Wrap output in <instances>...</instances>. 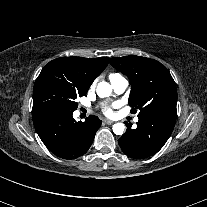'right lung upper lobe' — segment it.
<instances>
[{"label":"right lung upper lobe","instance_id":"cb5924a9","mask_svg":"<svg viewBox=\"0 0 207 207\" xmlns=\"http://www.w3.org/2000/svg\"><path fill=\"white\" fill-rule=\"evenodd\" d=\"M108 59V57L93 59L60 57L49 62L43 69L58 71L78 89L87 91L95 78L108 65Z\"/></svg>","mask_w":207,"mask_h":207}]
</instances>
